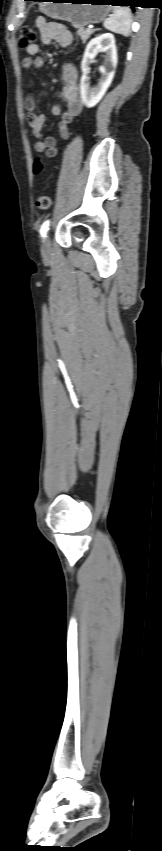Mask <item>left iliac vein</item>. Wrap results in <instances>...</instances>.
<instances>
[{"label": "left iliac vein", "instance_id": "left-iliac-vein-1", "mask_svg": "<svg viewBox=\"0 0 162 851\" xmlns=\"http://www.w3.org/2000/svg\"><path fill=\"white\" fill-rule=\"evenodd\" d=\"M51 253V241L49 235L45 236L42 242V254L45 258H48Z\"/></svg>", "mask_w": 162, "mask_h": 851}]
</instances>
